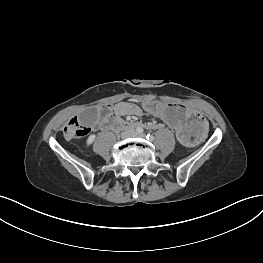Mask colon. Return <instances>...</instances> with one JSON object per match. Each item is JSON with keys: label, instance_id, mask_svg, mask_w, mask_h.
I'll return each instance as SVG.
<instances>
[{"label": "colon", "instance_id": "5ec220e1", "mask_svg": "<svg viewBox=\"0 0 263 263\" xmlns=\"http://www.w3.org/2000/svg\"><path fill=\"white\" fill-rule=\"evenodd\" d=\"M112 110L110 104H105L101 107L102 115H107ZM65 132L73 138H81L88 134L89 128L85 126L78 118L72 119L65 127Z\"/></svg>", "mask_w": 263, "mask_h": 263}]
</instances>
